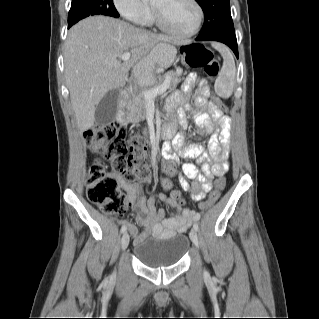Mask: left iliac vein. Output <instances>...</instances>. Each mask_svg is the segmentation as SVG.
I'll return each mask as SVG.
<instances>
[{"label":"left iliac vein","instance_id":"left-iliac-vein-1","mask_svg":"<svg viewBox=\"0 0 319 319\" xmlns=\"http://www.w3.org/2000/svg\"><path fill=\"white\" fill-rule=\"evenodd\" d=\"M190 239L196 246L198 245V236H197V232L195 230H191Z\"/></svg>","mask_w":319,"mask_h":319}]
</instances>
